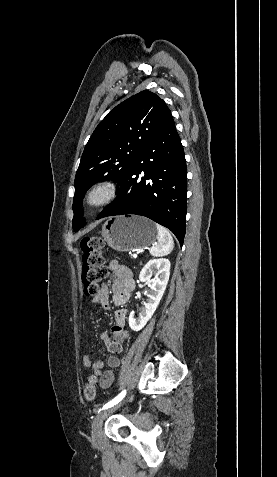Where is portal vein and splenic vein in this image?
<instances>
[{
    "label": "portal vein and splenic vein",
    "mask_w": 277,
    "mask_h": 477,
    "mask_svg": "<svg viewBox=\"0 0 277 477\" xmlns=\"http://www.w3.org/2000/svg\"><path fill=\"white\" fill-rule=\"evenodd\" d=\"M133 258H137V254H133Z\"/></svg>",
    "instance_id": "obj_1"
}]
</instances>
